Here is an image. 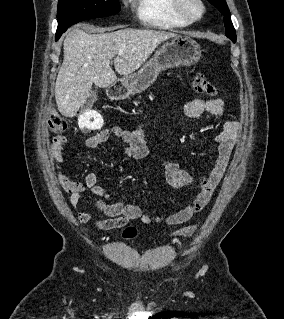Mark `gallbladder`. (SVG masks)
<instances>
[{"label": "gallbladder", "mask_w": 284, "mask_h": 319, "mask_svg": "<svg viewBox=\"0 0 284 319\" xmlns=\"http://www.w3.org/2000/svg\"><path fill=\"white\" fill-rule=\"evenodd\" d=\"M97 100V94L96 91L92 92L89 97L87 98V100L84 103V107L85 108H90L94 102Z\"/></svg>", "instance_id": "gallbladder-1"}]
</instances>
